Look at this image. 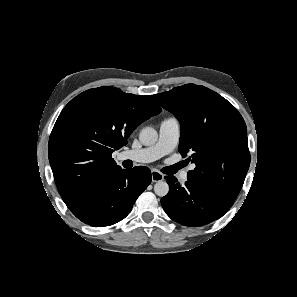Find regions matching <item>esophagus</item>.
I'll return each mask as SVG.
<instances>
[{"label": "esophagus", "mask_w": 297, "mask_h": 297, "mask_svg": "<svg viewBox=\"0 0 297 297\" xmlns=\"http://www.w3.org/2000/svg\"><path fill=\"white\" fill-rule=\"evenodd\" d=\"M151 177H152L153 182H159V181H162L164 179L163 174H161L160 172H158L156 170L151 171Z\"/></svg>", "instance_id": "1"}]
</instances>
